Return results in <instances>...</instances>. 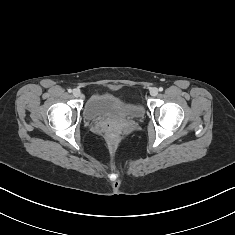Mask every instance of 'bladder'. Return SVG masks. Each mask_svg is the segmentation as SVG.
I'll list each match as a JSON object with an SVG mask.
<instances>
[{"instance_id":"1","label":"bladder","mask_w":235,"mask_h":235,"mask_svg":"<svg viewBox=\"0 0 235 235\" xmlns=\"http://www.w3.org/2000/svg\"><path fill=\"white\" fill-rule=\"evenodd\" d=\"M88 120L103 121L137 118L143 115V106L138 101L125 99L111 90L91 94L84 107Z\"/></svg>"}]
</instances>
